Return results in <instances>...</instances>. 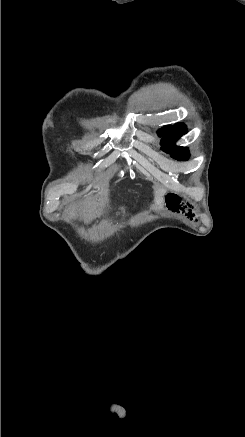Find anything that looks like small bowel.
<instances>
[{"instance_id":"c3829d8e","label":"small bowel","mask_w":245,"mask_h":437,"mask_svg":"<svg viewBox=\"0 0 245 437\" xmlns=\"http://www.w3.org/2000/svg\"><path fill=\"white\" fill-rule=\"evenodd\" d=\"M166 205L169 210L180 213L188 218L194 217V211L190 203L184 201L176 194H168L166 198Z\"/></svg>"}]
</instances>
